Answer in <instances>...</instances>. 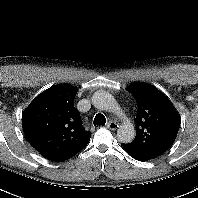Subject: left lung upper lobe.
Wrapping results in <instances>:
<instances>
[{
	"label": "left lung upper lobe",
	"instance_id": "1",
	"mask_svg": "<svg viewBox=\"0 0 198 198\" xmlns=\"http://www.w3.org/2000/svg\"><path fill=\"white\" fill-rule=\"evenodd\" d=\"M127 91L137 101L135 139L126 144L134 149L162 155L174 143L181 119L169 99L157 88L133 82Z\"/></svg>",
	"mask_w": 198,
	"mask_h": 198
}]
</instances>
